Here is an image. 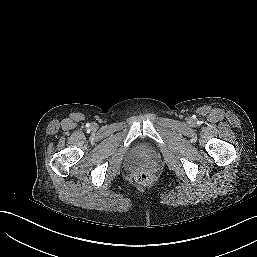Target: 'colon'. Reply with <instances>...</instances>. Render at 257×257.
Wrapping results in <instances>:
<instances>
[{
	"instance_id": "colon-1",
	"label": "colon",
	"mask_w": 257,
	"mask_h": 257,
	"mask_svg": "<svg viewBox=\"0 0 257 257\" xmlns=\"http://www.w3.org/2000/svg\"><path fill=\"white\" fill-rule=\"evenodd\" d=\"M136 180L139 184L146 185L153 180V175L148 171H141L136 175Z\"/></svg>"
}]
</instances>
